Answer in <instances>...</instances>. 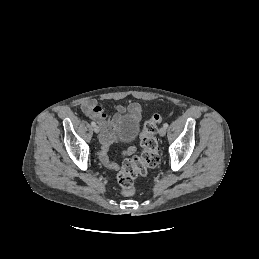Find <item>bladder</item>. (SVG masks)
Here are the masks:
<instances>
[{
	"label": "bladder",
	"mask_w": 259,
	"mask_h": 259,
	"mask_svg": "<svg viewBox=\"0 0 259 259\" xmlns=\"http://www.w3.org/2000/svg\"><path fill=\"white\" fill-rule=\"evenodd\" d=\"M139 129V121H134L127 117H121L119 119L118 130L123 140L129 141L136 138L139 133Z\"/></svg>",
	"instance_id": "31cf9c89"
}]
</instances>
